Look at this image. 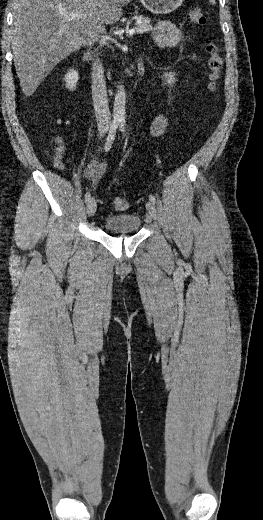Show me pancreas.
<instances>
[{
  "mask_svg": "<svg viewBox=\"0 0 263 520\" xmlns=\"http://www.w3.org/2000/svg\"><path fill=\"white\" fill-rule=\"evenodd\" d=\"M132 19L136 20L135 30L137 33H143V32H148V31L152 30V25L150 24V21H151L150 18L142 16V15H137V16H134ZM127 24H130V22H128Z\"/></svg>",
  "mask_w": 263,
  "mask_h": 520,
  "instance_id": "pancreas-1",
  "label": "pancreas"
}]
</instances>
